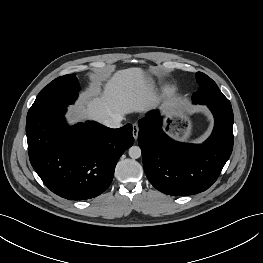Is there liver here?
Listing matches in <instances>:
<instances>
[{
	"label": "liver",
	"instance_id": "1",
	"mask_svg": "<svg viewBox=\"0 0 263 263\" xmlns=\"http://www.w3.org/2000/svg\"><path fill=\"white\" fill-rule=\"evenodd\" d=\"M95 81L91 88L92 97H86L84 105L73 110L72 119L76 121L83 117L100 123L114 114L126 115L136 112H146L156 108L160 99L153 90L141 68L119 70L102 84ZM167 113L173 108V103L167 101L161 106Z\"/></svg>",
	"mask_w": 263,
	"mask_h": 263
}]
</instances>
